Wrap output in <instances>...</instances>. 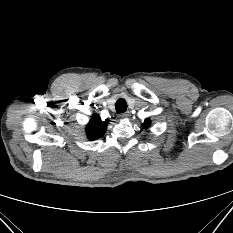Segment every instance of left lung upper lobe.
Returning a JSON list of instances; mask_svg holds the SVG:
<instances>
[{"instance_id":"left-lung-upper-lobe-1","label":"left lung upper lobe","mask_w":233,"mask_h":233,"mask_svg":"<svg viewBox=\"0 0 233 233\" xmlns=\"http://www.w3.org/2000/svg\"><path fill=\"white\" fill-rule=\"evenodd\" d=\"M149 125H150V121H149V120H146V121L142 124V126H143L145 129L148 128Z\"/></svg>"}]
</instances>
